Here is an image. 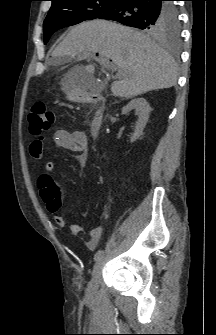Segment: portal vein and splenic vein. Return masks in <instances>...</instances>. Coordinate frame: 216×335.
Masks as SVG:
<instances>
[{
  "instance_id": "1",
  "label": "portal vein and splenic vein",
  "mask_w": 216,
  "mask_h": 335,
  "mask_svg": "<svg viewBox=\"0 0 216 335\" xmlns=\"http://www.w3.org/2000/svg\"><path fill=\"white\" fill-rule=\"evenodd\" d=\"M90 57H94V55H90V54H85L82 56V58H90ZM100 65L108 70H113L115 69L116 65L111 63L107 58L105 57H100L98 59Z\"/></svg>"
}]
</instances>
